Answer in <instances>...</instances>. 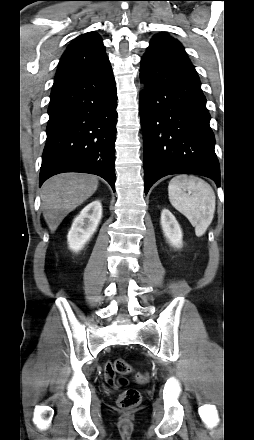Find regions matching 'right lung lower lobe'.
I'll return each mask as SVG.
<instances>
[{
	"instance_id": "obj_1",
	"label": "right lung lower lobe",
	"mask_w": 254,
	"mask_h": 440,
	"mask_svg": "<svg viewBox=\"0 0 254 440\" xmlns=\"http://www.w3.org/2000/svg\"><path fill=\"white\" fill-rule=\"evenodd\" d=\"M117 93L110 63L54 82L40 186L63 172L99 175L115 191Z\"/></svg>"
}]
</instances>
